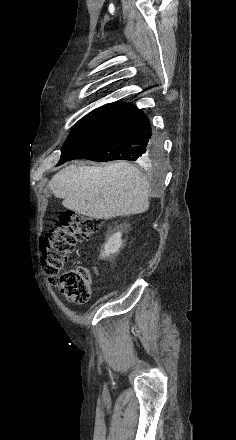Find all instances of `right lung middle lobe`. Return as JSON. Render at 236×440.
I'll return each mask as SVG.
<instances>
[{
    "label": "right lung middle lobe",
    "mask_w": 236,
    "mask_h": 440,
    "mask_svg": "<svg viewBox=\"0 0 236 440\" xmlns=\"http://www.w3.org/2000/svg\"><path fill=\"white\" fill-rule=\"evenodd\" d=\"M112 107L103 106L97 108L80 119L74 127L71 129L70 134L67 140L64 142V145L69 142L72 138L76 137L81 132L85 131L89 127H91L95 122H97L100 118L110 112ZM161 159V151L158 147H154V149L148 154L145 158L144 163H156Z\"/></svg>",
    "instance_id": "1"
}]
</instances>
